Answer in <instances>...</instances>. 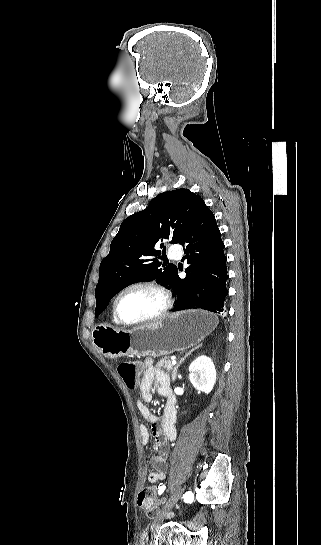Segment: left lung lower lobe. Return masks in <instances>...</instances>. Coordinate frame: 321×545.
<instances>
[{
	"mask_svg": "<svg viewBox=\"0 0 321 545\" xmlns=\"http://www.w3.org/2000/svg\"><path fill=\"white\" fill-rule=\"evenodd\" d=\"M179 244L185 246L184 259L190 266L184 279L177 271L169 284L177 295L172 311L201 308L224 315L229 278L225 246L215 216L205 203L197 206Z\"/></svg>",
	"mask_w": 321,
	"mask_h": 545,
	"instance_id": "left-lung-lower-lobe-1",
	"label": "left lung lower lobe"
}]
</instances>
